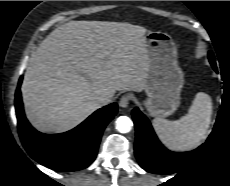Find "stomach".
<instances>
[{
  "instance_id": "0dacf381",
  "label": "stomach",
  "mask_w": 230,
  "mask_h": 186,
  "mask_svg": "<svg viewBox=\"0 0 230 186\" xmlns=\"http://www.w3.org/2000/svg\"><path fill=\"white\" fill-rule=\"evenodd\" d=\"M145 37L148 99L144 104L150 115L166 117L180 105L184 74L177 62V48L167 33L148 31Z\"/></svg>"
}]
</instances>
